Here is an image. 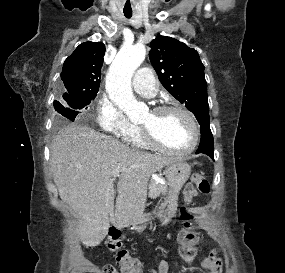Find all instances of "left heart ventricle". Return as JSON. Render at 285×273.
Listing matches in <instances>:
<instances>
[{"mask_svg":"<svg viewBox=\"0 0 285 273\" xmlns=\"http://www.w3.org/2000/svg\"><path fill=\"white\" fill-rule=\"evenodd\" d=\"M139 124L148 128L162 144L170 148L182 150L192 142V126L189 120L179 112L150 111L141 117Z\"/></svg>","mask_w":285,"mask_h":273,"instance_id":"1","label":"left heart ventricle"}]
</instances>
